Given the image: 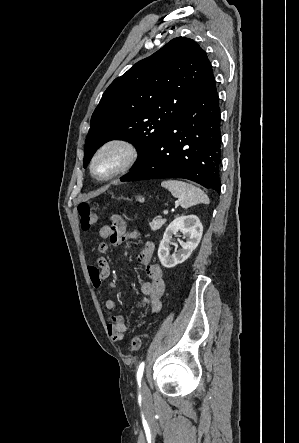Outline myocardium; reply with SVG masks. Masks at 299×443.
I'll return each instance as SVG.
<instances>
[{"label": "myocardium", "instance_id": "obj_1", "mask_svg": "<svg viewBox=\"0 0 299 443\" xmlns=\"http://www.w3.org/2000/svg\"><path fill=\"white\" fill-rule=\"evenodd\" d=\"M111 151L119 152L120 157L109 171L100 173L98 164ZM139 155V150L132 141L123 137L110 138L94 151L89 163L90 174L97 181H109L131 169L138 161Z\"/></svg>", "mask_w": 299, "mask_h": 443}]
</instances>
